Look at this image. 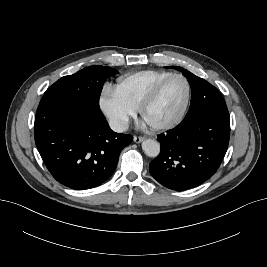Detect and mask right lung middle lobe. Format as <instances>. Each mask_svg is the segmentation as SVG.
Wrapping results in <instances>:
<instances>
[{
  "instance_id": "right-lung-middle-lobe-1",
  "label": "right lung middle lobe",
  "mask_w": 267,
  "mask_h": 267,
  "mask_svg": "<svg viewBox=\"0 0 267 267\" xmlns=\"http://www.w3.org/2000/svg\"><path fill=\"white\" fill-rule=\"evenodd\" d=\"M117 73V70L106 66H89L56 81L43 97L59 98L99 111L103 84L108 77Z\"/></svg>"
}]
</instances>
